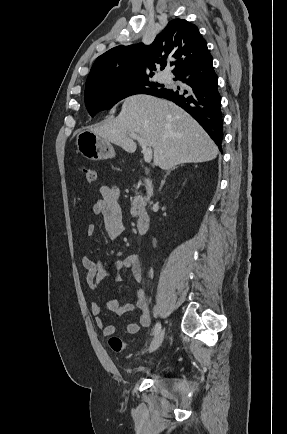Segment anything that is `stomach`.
I'll use <instances>...</instances> for the list:
<instances>
[{
  "label": "stomach",
  "instance_id": "1",
  "mask_svg": "<svg viewBox=\"0 0 287 434\" xmlns=\"http://www.w3.org/2000/svg\"><path fill=\"white\" fill-rule=\"evenodd\" d=\"M76 145L79 153L89 160L99 161L115 157L110 142L88 129L77 134Z\"/></svg>",
  "mask_w": 287,
  "mask_h": 434
}]
</instances>
